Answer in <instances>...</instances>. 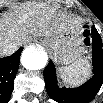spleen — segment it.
Instances as JSON below:
<instances>
[{"label":"spleen","mask_w":103,"mask_h":103,"mask_svg":"<svg viewBox=\"0 0 103 103\" xmlns=\"http://www.w3.org/2000/svg\"><path fill=\"white\" fill-rule=\"evenodd\" d=\"M58 71L63 81L69 85H80L91 74L90 64L86 59H80L69 66L60 67Z\"/></svg>","instance_id":"spleen-1"}]
</instances>
